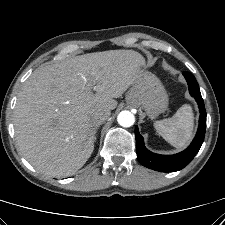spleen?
I'll return each instance as SVG.
<instances>
[{
	"label": "spleen",
	"instance_id": "obj_1",
	"mask_svg": "<svg viewBox=\"0 0 225 225\" xmlns=\"http://www.w3.org/2000/svg\"><path fill=\"white\" fill-rule=\"evenodd\" d=\"M194 126V115L190 105H182L171 117L155 121L159 135L176 148H182L190 140Z\"/></svg>",
	"mask_w": 225,
	"mask_h": 225
}]
</instances>
